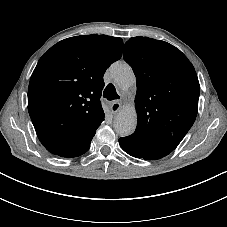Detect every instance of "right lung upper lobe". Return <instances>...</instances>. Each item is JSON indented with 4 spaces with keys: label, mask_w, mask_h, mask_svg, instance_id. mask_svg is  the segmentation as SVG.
Here are the masks:
<instances>
[{
    "label": "right lung upper lobe",
    "mask_w": 227,
    "mask_h": 227,
    "mask_svg": "<svg viewBox=\"0 0 227 227\" xmlns=\"http://www.w3.org/2000/svg\"><path fill=\"white\" fill-rule=\"evenodd\" d=\"M123 40L107 35L67 38L38 61L28 88L36 134L52 154L77 157L104 120L100 97L106 69L122 55Z\"/></svg>",
    "instance_id": "obj_1"
}]
</instances>
